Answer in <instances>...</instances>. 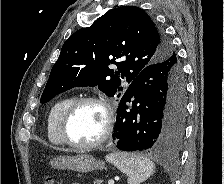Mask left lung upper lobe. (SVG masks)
<instances>
[{"label": "left lung upper lobe", "instance_id": "1", "mask_svg": "<svg viewBox=\"0 0 224 184\" xmlns=\"http://www.w3.org/2000/svg\"><path fill=\"white\" fill-rule=\"evenodd\" d=\"M173 55L176 53L163 32L142 9H112L66 40L40 102L75 86H98L107 96H114L123 89L120 78L131 82L145 67ZM110 64L118 70L110 69Z\"/></svg>", "mask_w": 224, "mask_h": 184}]
</instances>
